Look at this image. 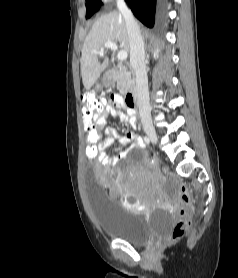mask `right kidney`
Returning a JSON list of instances; mask_svg holds the SVG:
<instances>
[{"instance_id": "1", "label": "right kidney", "mask_w": 238, "mask_h": 278, "mask_svg": "<svg viewBox=\"0 0 238 278\" xmlns=\"http://www.w3.org/2000/svg\"><path fill=\"white\" fill-rule=\"evenodd\" d=\"M157 52H158V50L156 51V53H154V57H156V56H157Z\"/></svg>"}]
</instances>
